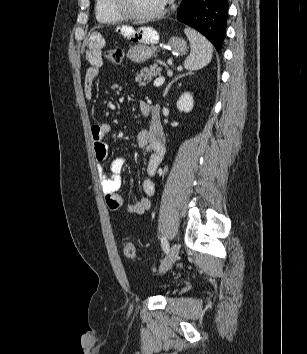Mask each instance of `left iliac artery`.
Instances as JSON below:
<instances>
[{"label":"left iliac artery","mask_w":307,"mask_h":354,"mask_svg":"<svg viewBox=\"0 0 307 354\" xmlns=\"http://www.w3.org/2000/svg\"><path fill=\"white\" fill-rule=\"evenodd\" d=\"M161 246H162V249L165 253L169 252V243H168L166 237H164V236H162V238H161Z\"/></svg>","instance_id":"obj_1"}]
</instances>
